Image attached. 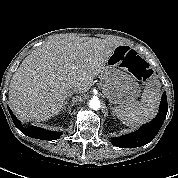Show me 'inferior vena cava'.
<instances>
[{"label":"inferior vena cava","instance_id":"inferior-vena-cava-1","mask_svg":"<svg viewBox=\"0 0 178 178\" xmlns=\"http://www.w3.org/2000/svg\"><path fill=\"white\" fill-rule=\"evenodd\" d=\"M77 92H78L77 89L72 90V94L77 93Z\"/></svg>","mask_w":178,"mask_h":178}]
</instances>
